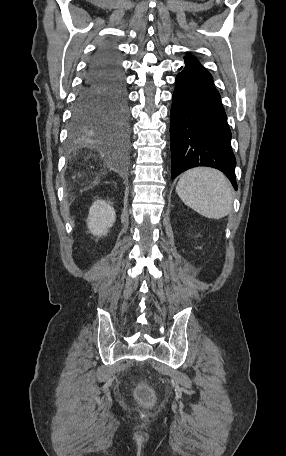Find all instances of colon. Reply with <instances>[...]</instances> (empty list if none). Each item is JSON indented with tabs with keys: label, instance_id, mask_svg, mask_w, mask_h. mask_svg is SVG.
Segmentation results:
<instances>
[{
	"label": "colon",
	"instance_id": "5ec220e1",
	"mask_svg": "<svg viewBox=\"0 0 286 456\" xmlns=\"http://www.w3.org/2000/svg\"><path fill=\"white\" fill-rule=\"evenodd\" d=\"M136 394L138 399L145 404H150L153 401V391L147 385H138L136 388Z\"/></svg>",
	"mask_w": 286,
	"mask_h": 456
}]
</instances>
